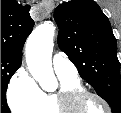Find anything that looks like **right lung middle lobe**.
I'll return each instance as SVG.
<instances>
[{
	"instance_id": "right-lung-middle-lobe-1",
	"label": "right lung middle lobe",
	"mask_w": 121,
	"mask_h": 113,
	"mask_svg": "<svg viewBox=\"0 0 121 113\" xmlns=\"http://www.w3.org/2000/svg\"><path fill=\"white\" fill-rule=\"evenodd\" d=\"M20 65L21 60L1 55V113H10L6 103V89L11 76Z\"/></svg>"
}]
</instances>
